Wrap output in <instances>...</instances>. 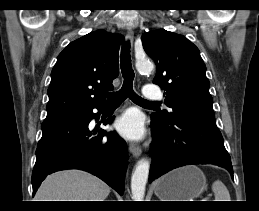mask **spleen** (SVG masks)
Segmentation results:
<instances>
[{
	"label": "spleen",
	"instance_id": "obj_1",
	"mask_svg": "<svg viewBox=\"0 0 259 211\" xmlns=\"http://www.w3.org/2000/svg\"><path fill=\"white\" fill-rule=\"evenodd\" d=\"M215 194V201H231L227 187L220 180H216L212 185Z\"/></svg>",
	"mask_w": 259,
	"mask_h": 211
}]
</instances>
